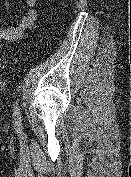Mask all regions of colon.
<instances>
[{"label": "colon", "mask_w": 131, "mask_h": 177, "mask_svg": "<svg viewBox=\"0 0 131 177\" xmlns=\"http://www.w3.org/2000/svg\"><path fill=\"white\" fill-rule=\"evenodd\" d=\"M6 69V63L0 61V72H3Z\"/></svg>", "instance_id": "obj_1"}]
</instances>
